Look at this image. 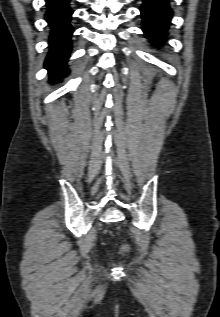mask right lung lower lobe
Returning a JSON list of instances; mask_svg holds the SVG:
<instances>
[{
  "mask_svg": "<svg viewBox=\"0 0 220 317\" xmlns=\"http://www.w3.org/2000/svg\"><path fill=\"white\" fill-rule=\"evenodd\" d=\"M70 0H46L48 11L45 15L51 26L50 52L45 61L52 81H60L68 71L65 69L71 50L70 37L73 32L69 24L73 11L68 6Z\"/></svg>",
  "mask_w": 220,
  "mask_h": 317,
  "instance_id": "right-lung-lower-lobe-1",
  "label": "right lung lower lobe"
}]
</instances>
